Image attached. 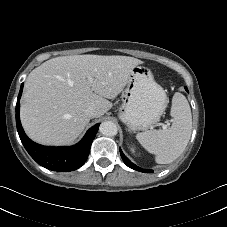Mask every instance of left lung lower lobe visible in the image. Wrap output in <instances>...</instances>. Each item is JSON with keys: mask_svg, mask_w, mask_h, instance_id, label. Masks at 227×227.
I'll return each instance as SVG.
<instances>
[{"mask_svg": "<svg viewBox=\"0 0 227 227\" xmlns=\"http://www.w3.org/2000/svg\"><path fill=\"white\" fill-rule=\"evenodd\" d=\"M185 89L187 90V88H185ZM120 154H121V157H122L124 163H125L128 167H130V168H132V169H134V170L140 171V172H144V173H152V172H153V170L142 169V168L136 166L135 164H133V163H132L124 154H123V152L121 151V149H120Z\"/></svg>", "mask_w": 227, "mask_h": 227, "instance_id": "left-lung-lower-lobe-1", "label": "left lung lower lobe"}]
</instances>
